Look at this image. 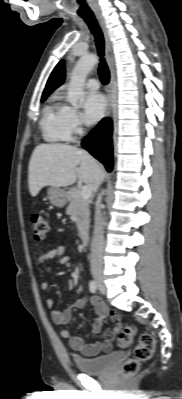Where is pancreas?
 I'll use <instances>...</instances> for the list:
<instances>
[{
	"mask_svg": "<svg viewBox=\"0 0 182 399\" xmlns=\"http://www.w3.org/2000/svg\"><path fill=\"white\" fill-rule=\"evenodd\" d=\"M69 205L66 212L70 214L78 228L79 236L88 234L90 223L89 202L81 197L80 191L76 188L69 190Z\"/></svg>",
	"mask_w": 182,
	"mask_h": 399,
	"instance_id": "obj_1",
	"label": "pancreas"
}]
</instances>
